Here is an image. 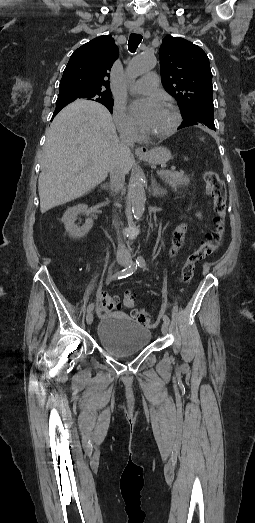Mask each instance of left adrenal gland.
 Here are the masks:
<instances>
[{
	"label": "left adrenal gland",
	"mask_w": 255,
	"mask_h": 523,
	"mask_svg": "<svg viewBox=\"0 0 255 523\" xmlns=\"http://www.w3.org/2000/svg\"><path fill=\"white\" fill-rule=\"evenodd\" d=\"M151 186L152 196H156V198H163L164 194H166V190H163V188H160V186H158L155 178H152Z\"/></svg>",
	"instance_id": "obj_1"
}]
</instances>
